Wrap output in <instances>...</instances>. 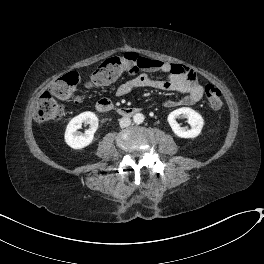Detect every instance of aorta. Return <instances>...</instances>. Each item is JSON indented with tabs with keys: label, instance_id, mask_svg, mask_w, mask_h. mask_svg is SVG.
Returning <instances> with one entry per match:
<instances>
[{
	"label": "aorta",
	"instance_id": "1",
	"mask_svg": "<svg viewBox=\"0 0 264 264\" xmlns=\"http://www.w3.org/2000/svg\"><path fill=\"white\" fill-rule=\"evenodd\" d=\"M133 121L137 124H140L144 121V115L141 114V113H136L134 116H133Z\"/></svg>",
	"mask_w": 264,
	"mask_h": 264
}]
</instances>
